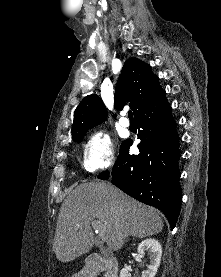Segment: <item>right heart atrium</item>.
<instances>
[{"label":"right heart atrium","instance_id":"1","mask_svg":"<svg viewBox=\"0 0 221 277\" xmlns=\"http://www.w3.org/2000/svg\"><path fill=\"white\" fill-rule=\"evenodd\" d=\"M113 160L114 150L110 136L101 130L95 131L84 148V169L87 172H95L110 166Z\"/></svg>","mask_w":221,"mask_h":277}]
</instances>
